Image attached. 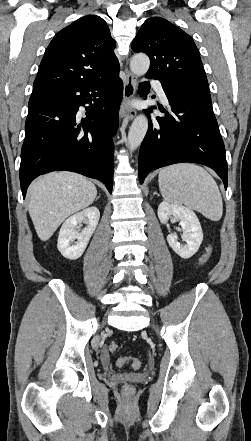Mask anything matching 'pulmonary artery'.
<instances>
[{"mask_svg":"<svg viewBox=\"0 0 251 441\" xmlns=\"http://www.w3.org/2000/svg\"><path fill=\"white\" fill-rule=\"evenodd\" d=\"M152 86L156 90V92H157L158 96L161 98V100L164 103H167L168 100H167V97H166V94L164 92L162 84L159 81L154 80V81H152Z\"/></svg>","mask_w":251,"mask_h":441,"instance_id":"obj_1","label":"pulmonary artery"}]
</instances>
